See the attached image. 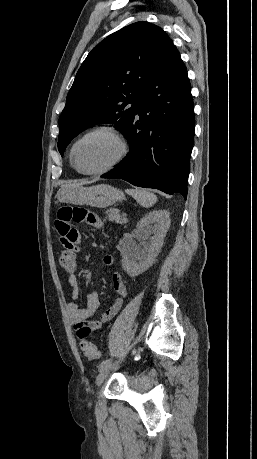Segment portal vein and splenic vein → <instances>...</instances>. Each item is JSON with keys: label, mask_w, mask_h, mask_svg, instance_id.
I'll use <instances>...</instances> for the list:
<instances>
[{"label": "portal vein and splenic vein", "mask_w": 257, "mask_h": 459, "mask_svg": "<svg viewBox=\"0 0 257 459\" xmlns=\"http://www.w3.org/2000/svg\"><path fill=\"white\" fill-rule=\"evenodd\" d=\"M123 215H124V220H126V215L125 214H123Z\"/></svg>", "instance_id": "1"}]
</instances>
